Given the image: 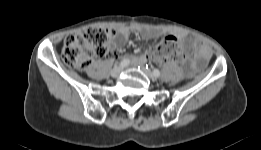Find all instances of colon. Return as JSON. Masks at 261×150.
Here are the masks:
<instances>
[{
  "mask_svg": "<svg viewBox=\"0 0 261 150\" xmlns=\"http://www.w3.org/2000/svg\"><path fill=\"white\" fill-rule=\"evenodd\" d=\"M113 31L98 27H88L70 34L64 41L61 58L69 68L85 70L95 58L105 57ZM150 55L159 61L183 62L185 55L178 40L172 36L161 39L151 50Z\"/></svg>",
  "mask_w": 261,
  "mask_h": 150,
  "instance_id": "obj_1",
  "label": "colon"
}]
</instances>
